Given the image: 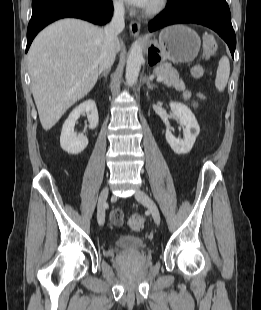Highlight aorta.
Wrapping results in <instances>:
<instances>
[{"mask_svg": "<svg viewBox=\"0 0 261 310\" xmlns=\"http://www.w3.org/2000/svg\"><path fill=\"white\" fill-rule=\"evenodd\" d=\"M143 62L142 48L138 41L132 44L126 65V82L129 86L138 80L141 64Z\"/></svg>", "mask_w": 261, "mask_h": 310, "instance_id": "1", "label": "aorta"}]
</instances>
